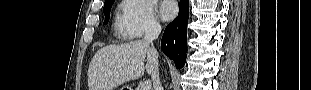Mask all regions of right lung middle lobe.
Returning a JSON list of instances; mask_svg holds the SVG:
<instances>
[{
	"label": "right lung middle lobe",
	"instance_id": "obj_1",
	"mask_svg": "<svg viewBox=\"0 0 311 90\" xmlns=\"http://www.w3.org/2000/svg\"><path fill=\"white\" fill-rule=\"evenodd\" d=\"M114 3V0L110 1L109 3L104 4V15H105V21L104 24H107L110 18V10L112 7V4Z\"/></svg>",
	"mask_w": 311,
	"mask_h": 90
}]
</instances>
